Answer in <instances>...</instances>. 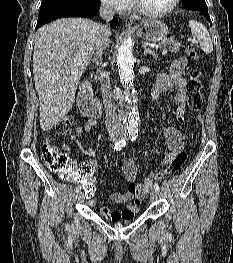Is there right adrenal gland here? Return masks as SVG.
Instances as JSON below:
<instances>
[{"label": "right adrenal gland", "mask_w": 233, "mask_h": 263, "mask_svg": "<svg viewBox=\"0 0 233 263\" xmlns=\"http://www.w3.org/2000/svg\"><path fill=\"white\" fill-rule=\"evenodd\" d=\"M97 61V54H95L92 58V62H96Z\"/></svg>", "instance_id": "right-adrenal-gland-1"}]
</instances>
